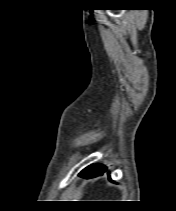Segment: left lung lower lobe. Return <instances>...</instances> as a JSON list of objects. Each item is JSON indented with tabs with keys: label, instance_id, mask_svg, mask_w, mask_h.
<instances>
[{
	"label": "left lung lower lobe",
	"instance_id": "1",
	"mask_svg": "<svg viewBox=\"0 0 176 211\" xmlns=\"http://www.w3.org/2000/svg\"><path fill=\"white\" fill-rule=\"evenodd\" d=\"M105 171H106L105 166L96 164V165H90L89 167L85 168L84 170L81 171L79 175L85 178H93L101 175Z\"/></svg>",
	"mask_w": 176,
	"mask_h": 211
}]
</instances>
